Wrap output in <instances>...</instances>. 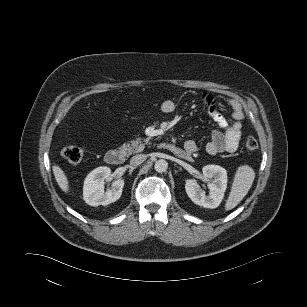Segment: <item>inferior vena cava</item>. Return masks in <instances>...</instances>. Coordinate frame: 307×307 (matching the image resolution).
Returning a JSON list of instances; mask_svg holds the SVG:
<instances>
[{"instance_id": "1", "label": "inferior vena cava", "mask_w": 307, "mask_h": 307, "mask_svg": "<svg viewBox=\"0 0 307 307\" xmlns=\"http://www.w3.org/2000/svg\"><path fill=\"white\" fill-rule=\"evenodd\" d=\"M147 156L145 154H138L131 158L130 164L132 166H138L146 160Z\"/></svg>"}]
</instances>
